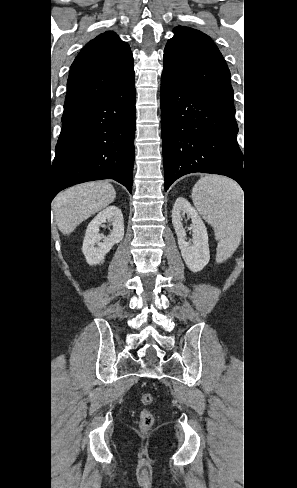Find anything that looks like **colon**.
<instances>
[{
	"label": "colon",
	"mask_w": 297,
	"mask_h": 488,
	"mask_svg": "<svg viewBox=\"0 0 297 488\" xmlns=\"http://www.w3.org/2000/svg\"><path fill=\"white\" fill-rule=\"evenodd\" d=\"M153 397L150 393H145L141 396V402L144 406L152 403ZM154 423V416L148 409H142L139 415V426L142 430H148Z\"/></svg>",
	"instance_id": "colon-1"
}]
</instances>
